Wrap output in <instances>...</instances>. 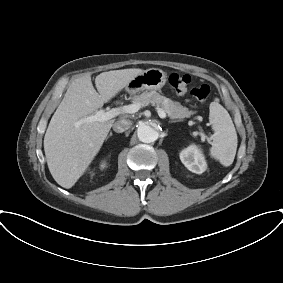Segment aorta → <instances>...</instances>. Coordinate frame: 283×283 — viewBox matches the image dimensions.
Instances as JSON below:
<instances>
[{"label":"aorta","mask_w":283,"mask_h":283,"mask_svg":"<svg viewBox=\"0 0 283 283\" xmlns=\"http://www.w3.org/2000/svg\"><path fill=\"white\" fill-rule=\"evenodd\" d=\"M137 136L141 142L151 143L158 139V132L147 124H141L137 129Z\"/></svg>","instance_id":"obj_1"}]
</instances>
